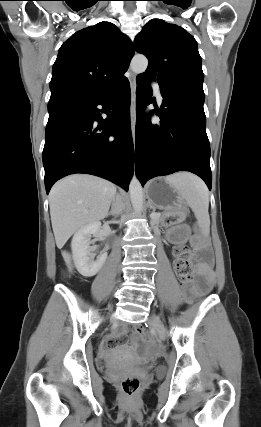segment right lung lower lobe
Returning <instances> with one entry per match:
<instances>
[{
  "label": "right lung lower lobe",
  "mask_w": 261,
  "mask_h": 427,
  "mask_svg": "<svg viewBox=\"0 0 261 427\" xmlns=\"http://www.w3.org/2000/svg\"><path fill=\"white\" fill-rule=\"evenodd\" d=\"M130 100L126 78L97 99L49 111L43 149L47 193L73 173L100 176L128 190L134 165ZM98 105L108 108L106 119Z\"/></svg>",
  "instance_id": "98d812e1"
}]
</instances>
